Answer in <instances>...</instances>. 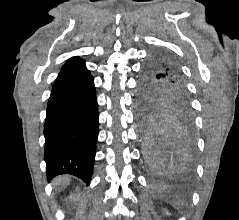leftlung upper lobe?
<instances>
[{
	"instance_id": "obj_1",
	"label": "left lung upper lobe",
	"mask_w": 239,
	"mask_h": 220,
	"mask_svg": "<svg viewBox=\"0 0 239 220\" xmlns=\"http://www.w3.org/2000/svg\"><path fill=\"white\" fill-rule=\"evenodd\" d=\"M190 112L182 70L165 52L154 54L143 71L142 116L144 128L156 126L167 112Z\"/></svg>"
}]
</instances>
